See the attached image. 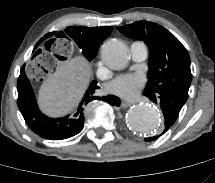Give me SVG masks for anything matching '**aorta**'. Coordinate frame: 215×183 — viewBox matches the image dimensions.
<instances>
[{
    "mask_svg": "<svg viewBox=\"0 0 215 183\" xmlns=\"http://www.w3.org/2000/svg\"><path fill=\"white\" fill-rule=\"evenodd\" d=\"M101 57L110 69L121 70L128 64L129 53L121 40L110 39L103 44ZM161 122L160 113L147 104L134 106L126 116V124L129 129L147 135L157 132L161 127Z\"/></svg>",
    "mask_w": 215,
    "mask_h": 183,
    "instance_id": "762f6f07",
    "label": "aorta"
}]
</instances>
